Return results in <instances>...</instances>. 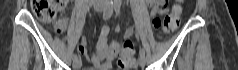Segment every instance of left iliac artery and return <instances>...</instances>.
<instances>
[{
	"mask_svg": "<svg viewBox=\"0 0 238 70\" xmlns=\"http://www.w3.org/2000/svg\"><path fill=\"white\" fill-rule=\"evenodd\" d=\"M114 8H115V12L117 15L120 14V8H121V0H115L114 1ZM145 48H140L139 50V54L140 56H145Z\"/></svg>",
	"mask_w": 238,
	"mask_h": 70,
	"instance_id": "44dca946",
	"label": "left iliac artery"
}]
</instances>
